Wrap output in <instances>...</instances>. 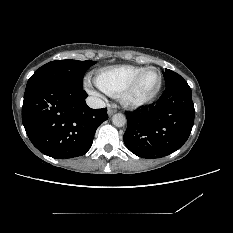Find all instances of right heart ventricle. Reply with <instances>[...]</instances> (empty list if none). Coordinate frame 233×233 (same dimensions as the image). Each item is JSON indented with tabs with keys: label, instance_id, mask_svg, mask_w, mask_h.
Returning a JSON list of instances; mask_svg holds the SVG:
<instances>
[{
	"label": "right heart ventricle",
	"instance_id": "1",
	"mask_svg": "<svg viewBox=\"0 0 233 233\" xmlns=\"http://www.w3.org/2000/svg\"><path fill=\"white\" fill-rule=\"evenodd\" d=\"M144 68L133 65H119L104 68L98 71L96 84L107 95L119 97L126 84Z\"/></svg>",
	"mask_w": 233,
	"mask_h": 233
}]
</instances>
